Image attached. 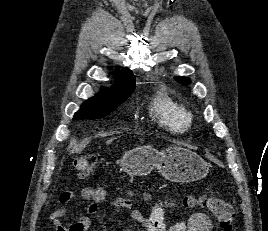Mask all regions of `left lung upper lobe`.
Listing matches in <instances>:
<instances>
[{
	"mask_svg": "<svg viewBox=\"0 0 268 231\" xmlns=\"http://www.w3.org/2000/svg\"><path fill=\"white\" fill-rule=\"evenodd\" d=\"M175 80L184 86L190 84V80L188 78H185V77H175Z\"/></svg>",
	"mask_w": 268,
	"mask_h": 231,
	"instance_id": "obj_1",
	"label": "left lung upper lobe"
}]
</instances>
